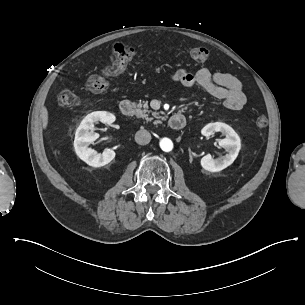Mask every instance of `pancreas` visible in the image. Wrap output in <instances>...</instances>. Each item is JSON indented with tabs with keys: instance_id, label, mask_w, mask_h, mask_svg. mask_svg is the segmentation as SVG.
Returning <instances> with one entry per match:
<instances>
[{
	"instance_id": "obj_1",
	"label": "pancreas",
	"mask_w": 305,
	"mask_h": 305,
	"mask_svg": "<svg viewBox=\"0 0 305 305\" xmlns=\"http://www.w3.org/2000/svg\"><path fill=\"white\" fill-rule=\"evenodd\" d=\"M143 108V109H142ZM149 113L152 114V117H149ZM136 116L138 118H144L146 121H152L154 118L160 119L158 112H152L151 110H148V103L145 102L144 104L138 103L137 104V110H136ZM162 123L160 120H156L154 124Z\"/></svg>"
}]
</instances>
